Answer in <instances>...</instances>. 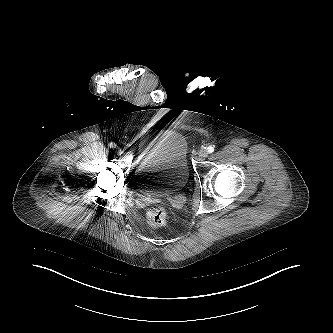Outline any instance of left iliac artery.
I'll use <instances>...</instances> for the list:
<instances>
[{
  "mask_svg": "<svg viewBox=\"0 0 333 333\" xmlns=\"http://www.w3.org/2000/svg\"><path fill=\"white\" fill-rule=\"evenodd\" d=\"M214 146H209L208 148H207V151L209 152V153H212V152H214Z\"/></svg>",
  "mask_w": 333,
  "mask_h": 333,
  "instance_id": "1",
  "label": "left iliac artery"
}]
</instances>
